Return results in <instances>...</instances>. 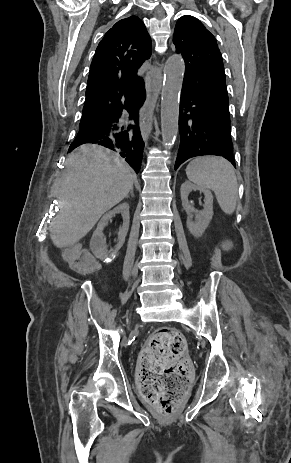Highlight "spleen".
<instances>
[{
    "label": "spleen",
    "mask_w": 291,
    "mask_h": 463,
    "mask_svg": "<svg viewBox=\"0 0 291 463\" xmlns=\"http://www.w3.org/2000/svg\"><path fill=\"white\" fill-rule=\"evenodd\" d=\"M186 175L198 186L211 189L222 211L233 214L238 199V183L234 168L227 160L220 157L196 158L188 164Z\"/></svg>",
    "instance_id": "1"
}]
</instances>
